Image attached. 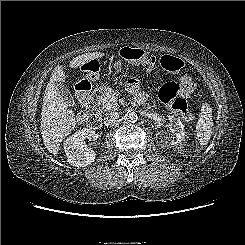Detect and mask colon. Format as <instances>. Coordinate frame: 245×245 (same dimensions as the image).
<instances>
[{
  "instance_id": "1",
  "label": "colon",
  "mask_w": 245,
  "mask_h": 245,
  "mask_svg": "<svg viewBox=\"0 0 245 245\" xmlns=\"http://www.w3.org/2000/svg\"><path fill=\"white\" fill-rule=\"evenodd\" d=\"M121 56L128 61H136L146 66L147 71H151L155 66V57H149L148 54L140 49H122ZM161 66L168 72L180 73V82L169 81L164 83L159 89V99L170 106L172 112L185 120L192 121L193 117L188 110L186 97L191 96L195 89V83L186 70L184 62L174 56L164 55L160 58ZM89 89L90 86L87 85Z\"/></svg>"
}]
</instances>
